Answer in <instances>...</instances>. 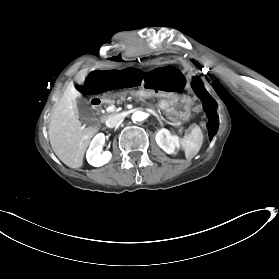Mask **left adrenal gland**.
Listing matches in <instances>:
<instances>
[{"label": "left adrenal gland", "mask_w": 279, "mask_h": 279, "mask_svg": "<svg viewBox=\"0 0 279 279\" xmlns=\"http://www.w3.org/2000/svg\"><path fill=\"white\" fill-rule=\"evenodd\" d=\"M156 117H157V120L159 121V123L162 125V121H161L160 117L158 115H156Z\"/></svg>", "instance_id": "obj_1"}]
</instances>
